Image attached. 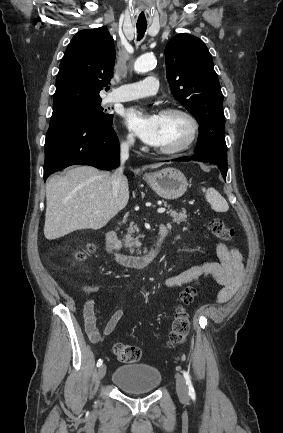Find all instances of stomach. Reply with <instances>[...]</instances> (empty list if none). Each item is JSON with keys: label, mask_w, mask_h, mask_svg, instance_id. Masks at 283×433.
I'll use <instances>...</instances> for the list:
<instances>
[{"label": "stomach", "mask_w": 283, "mask_h": 433, "mask_svg": "<svg viewBox=\"0 0 283 433\" xmlns=\"http://www.w3.org/2000/svg\"><path fill=\"white\" fill-rule=\"evenodd\" d=\"M144 180L150 184L151 188L167 200L179 198L187 190V178L181 170L177 168H162L157 172L144 174Z\"/></svg>", "instance_id": "0dacf381"}]
</instances>
